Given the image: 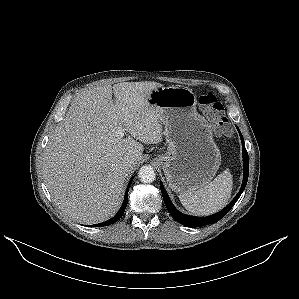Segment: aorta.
Masks as SVG:
<instances>
[{"label":"aorta","mask_w":299,"mask_h":299,"mask_svg":"<svg viewBox=\"0 0 299 299\" xmlns=\"http://www.w3.org/2000/svg\"><path fill=\"white\" fill-rule=\"evenodd\" d=\"M138 177L143 183L153 182L156 178V173L152 166L144 165L140 168Z\"/></svg>","instance_id":"aorta-1"}]
</instances>
